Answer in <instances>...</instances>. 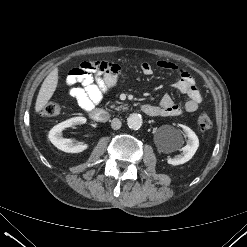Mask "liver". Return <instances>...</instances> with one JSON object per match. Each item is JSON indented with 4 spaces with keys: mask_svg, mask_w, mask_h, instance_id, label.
Segmentation results:
<instances>
[{
    "mask_svg": "<svg viewBox=\"0 0 247 247\" xmlns=\"http://www.w3.org/2000/svg\"><path fill=\"white\" fill-rule=\"evenodd\" d=\"M58 84V69L54 68L43 81L39 90L35 111H41L53 96Z\"/></svg>",
    "mask_w": 247,
    "mask_h": 247,
    "instance_id": "6515ba94",
    "label": "liver"
}]
</instances>
